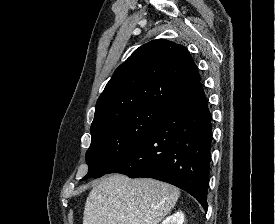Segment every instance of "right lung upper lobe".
<instances>
[{"label": "right lung upper lobe", "instance_id": "1", "mask_svg": "<svg viewBox=\"0 0 275 224\" xmlns=\"http://www.w3.org/2000/svg\"><path fill=\"white\" fill-rule=\"evenodd\" d=\"M201 81L189 51L158 39L142 45L121 64L97 100L92 126L153 106L168 109Z\"/></svg>", "mask_w": 275, "mask_h": 224}]
</instances>
